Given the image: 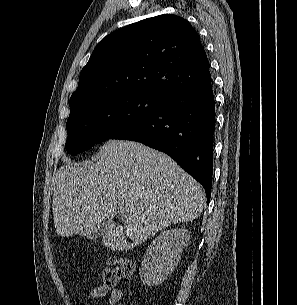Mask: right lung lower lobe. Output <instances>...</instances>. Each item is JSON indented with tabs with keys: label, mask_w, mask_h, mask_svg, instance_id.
Returning <instances> with one entry per match:
<instances>
[{
	"label": "right lung lower lobe",
	"mask_w": 297,
	"mask_h": 305,
	"mask_svg": "<svg viewBox=\"0 0 297 305\" xmlns=\"http://www.w3.org/2000/svg\"><path fill=\"white\" fill-rule=\"evenodd\" d=\"M215 102L211 79L180 89L138 123L112 139L141 142L168 154L211 196Z\"/></svg>",
	"instance_id": "obj_1"
}]
</instances>
